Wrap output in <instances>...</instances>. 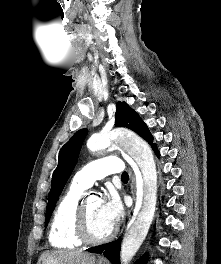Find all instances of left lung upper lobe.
<instances>
[{
    "label": "left lung upper lobe",
    "instance_id": "5c2ea615",
    "mask_svg": "<svg viewBox=\"0 0 221 264\" xmlns=\"http://www.w3.org/2000/svg\"><path fill=\"white\" fill-rule=\"evenodd\" d=\"M116 107L115 126L129 128L139 134L147 142H153V137L148 127L127 103L118 102ZM87 132V129L78 130L59 152L58 166L53 172L51 190L48 195L45 225L48 224L59 195L76 165ZM154 145L155 144H152L151 146L153 147Z\"/></svg>",
    "mask_w": 221,
    "mask_h": 264
}]
</instances>
